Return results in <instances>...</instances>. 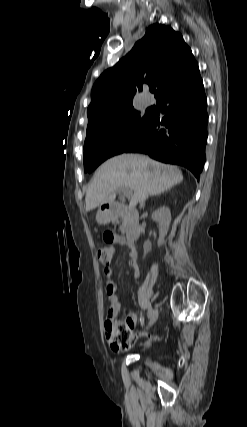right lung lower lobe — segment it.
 <instances>
[{
  "mask_svg": "<svg viewBox=\"0 0 247 427\" xmlns=\"http://www.w3.org/2000/svg\"><path fill=\"white\" fill-rule=\"evenodd\" d=\"M157 104L165 116L159 119L152 114L144 135L125 152L144 153L164 163L182 165L199 179L206 160L208 123L199 69L171 86Z\"/></svg>",
  "mask_w": 247,
  "mask_h": 427,
  "instance_id": "right-lung-lower-lobe-1",
  "label": "right lung lower lobe"
}]
</instances>
